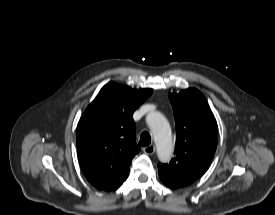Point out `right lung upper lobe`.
Masks as SVG:
<instances>
[{"label":"right lung upper lobe","mask_w":275,"mask_h":215,"mask_svg":"<svg viewBox=\"0 0 275 215\" xmlns=\"http://www.w3.org/2000/svg\"><path fill=\"white\" fill-rule=\"evenodd\" d=\"M152 91L110 82L80 118L78 158L84 175L96 188L114 190L127 178L131 161L140 150L135 142L133 112Z\"/></svg>","instance_id":"obj_1"}]
</instances>
